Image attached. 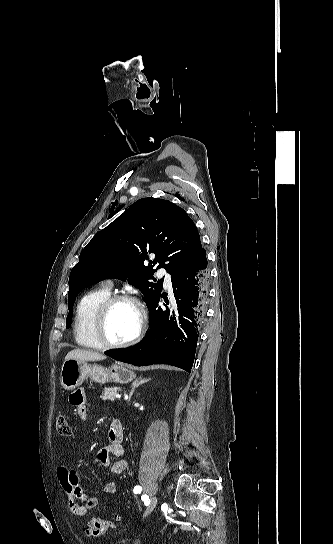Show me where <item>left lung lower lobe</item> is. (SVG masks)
I'll return each instance as SVG.
<instances>
[{"instance_id": "left-lung-lower-lobe-1", "label": "left lung lower lobe", "mask_w": 333, "mask_h": 544, "mask_svg": "<svg viewBox=\"0 0 333 544\" xmlns=\"http://www.w3.org/2000/svg\"><path fill=\"white\" fill-rule=\"evenodd\" d=\"M174 300L163 294L149 305L151 327L136 345L112 349L106 355L136 366L169 364L190 372L193 366L198 330L204 317L208 294L209 270L204 248L171 277ZM164 298L166 308L158 307Z\"/></svg>"}]
</instances>
